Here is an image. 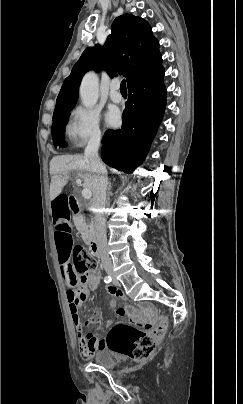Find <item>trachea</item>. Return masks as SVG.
I'll return each mask as SVG.
<instances>
[{"label": "trachea", "mask_w": 243, "mask_h": 404, "mask_svg": "<svg viewBox=\"0 0 243 404\" xmlns=\"http://www.w3.org/2000/svg\"><path fill=\"white\" fill-rule=\"evenodd\" d=\"M127 87H126V80L123 79L120 85V91H126Z\"/></svg>", "instance_id": "obj_1"}]
</instances>
